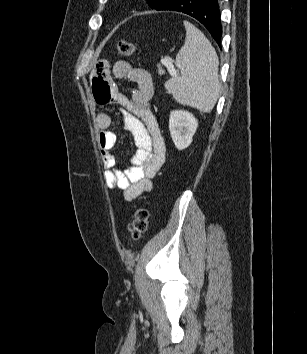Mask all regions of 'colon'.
<instances>
[{"label": "colon", "instance_id": "1", "mask_svg": "<svg viewBox=\"0 0 307 354\" xmlns=\"http://www.w3.org/2000/svg\"><path fill=\"white\" fill-rule=\"evenodd\" d=\"M118 52L123 56H131L134 52V45L124 39L117 43ZM149 225V212L145 207H138L134 218L129 224L128 230L133 239H139L147 230Z\"/></svg>", "mask_w": 307, "mask_h": 354}]
</instances>
